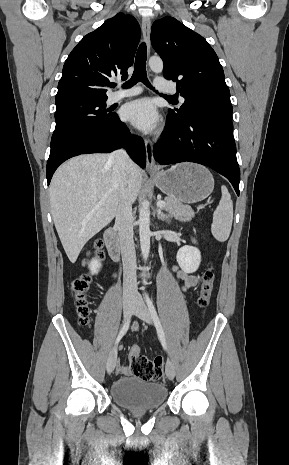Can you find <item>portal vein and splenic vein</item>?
<instances>
[{"mask_svg": "<svg viewBox=\"0 0 289 465\" xmlns=\"http://www.w3.org/2000/svg\"><path fill=\"white\" fill-rule=\"evenodd\" d=\"M164 205H165V202L162 201V200H159V201L157 202V206H158V207H163Z\"/></svg>", "mask_w": 289, "mask_h": 465, "instance_id": "portal-vein-and-splenic-vein-1", "label": "portal vein and splenic vein"}]
</instances>
